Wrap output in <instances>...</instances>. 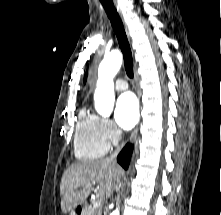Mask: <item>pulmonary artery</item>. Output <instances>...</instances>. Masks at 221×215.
I'll return each instance as SVG.
<instances>
[{"label":"pulmonary artery","mask_w":221,"mask_h":215,"mask_svg":"<svg viewBox=\"0 0 221 215\" xmlns=\"http://www.w3.org/2000/svg\"><path fill=\"white\" fill-rule=\"evenodd\" d=\"M128 88V84L124 79H117L115 82V89L117 91H124Z\"/></svg>","instance_id":"obj_1"}]
</instances>
